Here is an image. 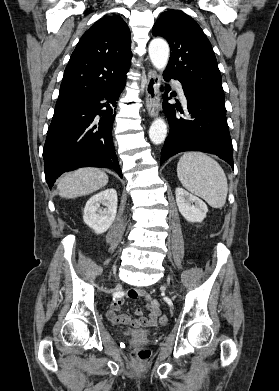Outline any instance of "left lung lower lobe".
I'll use <instances>...</instances> for the list:
<instances>
[{"label":"left lung lower lobe","mask_w":279,"mask_h":391,"mask_svg":"<svg viewBox=\"0 0 279 391\" xmlns=\"http://www.w3.org/2000/svg\"><path fill=\"white\" fill-rule=\"evenodd\" d=\"M164 79L171 78L164 75ZM183 90L187 99L184 117L176 114V110L184 114L181 106L168 104L169 97L163 96V110L169 120L170 131L161 151L160 163L179 152L202 151L216 154L233 167L225 106L185 87Z\"/></svg>","instance_id":"left-lung-lower-lobe-1"}]
</instances>
